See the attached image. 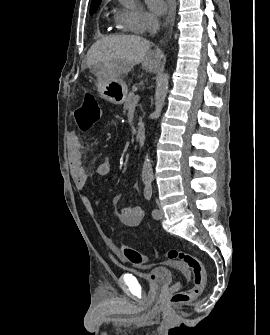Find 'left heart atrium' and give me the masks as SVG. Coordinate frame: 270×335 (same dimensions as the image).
Masks as SVG:
<instances>
[{
	"instance_id": "1",
	"label": "left heart atrium",
	"mask_w": 270,
	"mask_h": 335,
	"mask_svg": "<svg viewBox=\"0 0 270 335\" xmlns=\"http://www.w3.org/2000/svg\"><path fill=\"white\" fill-rule=\"evenodd\" d=\"M148 6L150 10L157 16L164 13V4L161 0H149Z\"/></svg>"
}]
</instances>
